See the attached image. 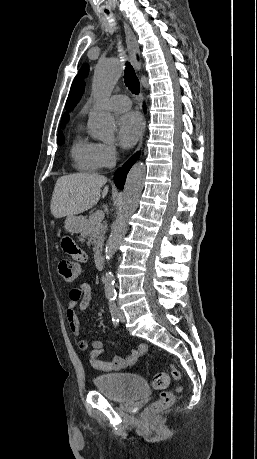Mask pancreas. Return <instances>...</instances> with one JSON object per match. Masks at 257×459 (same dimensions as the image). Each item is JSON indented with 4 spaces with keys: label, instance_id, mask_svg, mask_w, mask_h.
I'll use <instances>...</instances> for the list:
<instances>
[{
    "label": "pancreas",
    "instance_id": "pancreas-1",
    "mask_svg": "<svg viewBox=\"0 0 257 459\" xmlns=\"http://www.w3.org/2000/svg\"><path fill=\"white\" fill-rule=\"evenodd\" d=\"M106 228L107 225L101 221H97L95 215L92 214L89 216V219L86 221V224L81 232L82 237H89L92 240L95 256L100 253L103 246Z\"/></svg>",
    "mask_w": 257,
    "mask_h": 459
}]
</instances>
